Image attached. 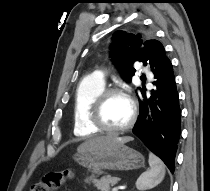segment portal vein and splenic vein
Here are the masks:
<instances>
[{
    "label": "portal vein and splenic vein",
    "mask_w": 210,
    "mask_h": 191,
    "mask_svg": "<svg viewBox=\"0 0 210 191\" xmlns=\"http://www.w3.org/2000/svg\"><path fill=\"white\" fill-rule=\"evenodd\" d=\"M112 191H118V188H117V187H114V188L112 189Z\"/></svg>",
    "instance_id": "portal-vein-and-splenic-vein-1"
}]
</instances>
